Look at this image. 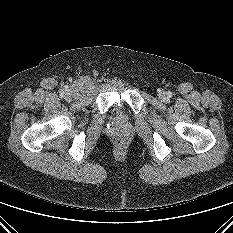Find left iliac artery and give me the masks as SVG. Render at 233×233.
Here are the masks:
<instances>
[{"mask_svg": "<svg viewBox=\"0 0 233 233\" xmlns=\"http://www.w3.org/2000/svg\"><path fill=\"white\" fill-rule=\"evenodd\" d=\"M172 96V93L171 92H168L167 93V97L170 98Z\"/></svg>", "mask_w": 233, "mask_h": 233, "instance_id": "44dca946", "label": "left iliac artery"}]
</instances>
